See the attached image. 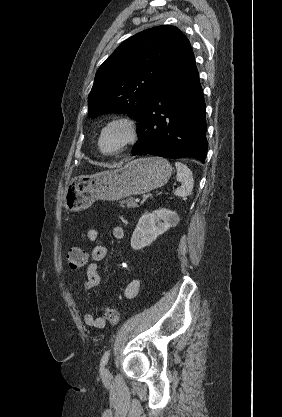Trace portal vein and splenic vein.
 <instances>
[{
  "label": "portal vein and splenic vein",
  "instance_id": "obj_1",
  "mask_svg": "<svg viewBox=\"0 0 282 417\" xmlns=\"http://www.w3.org/2000/svg\"><path fill=\"white\" fill-rule=\"evenodd\" d=\"M136 202H137V203H140V202H141V199H140V198H137V199H136Z\"/></svg>",
  "mask_w": 282,
  "mask_h": 417
}]
</instances>
